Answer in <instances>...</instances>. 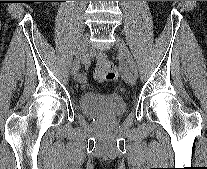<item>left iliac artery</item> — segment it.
Wrapping results in <instances>:
<instances>
[{
    "label": "left iliac artery",
    "mask_w": 207,
    "mask_h": 169,
    "mask_svg": "<svg viewBox=\"0 0 207 169\" xmlns=\"http://www.w3.org/2000/svg\"><path fill=\"white\" fill-rule=\"evenodd\" d=\"M120 68H122L121 70L124 71V70H131L134 72V74L137 75V68H136V65L133 64V65H125V63H120ZM125 68V69H124Z\"/></svg>",
    "instance_id": "1"
}]
</instances>
